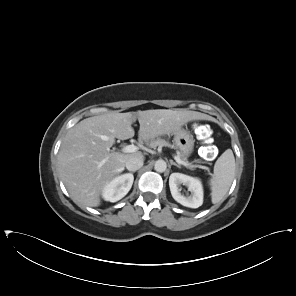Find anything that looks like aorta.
Here are the masks:
<instances>
[{
	"mask_svg": "<svg viewBox=\"0 0 296 296\" xmlns=\"http://www.w3.org/2000/svg\"><path fill=\"white\" fill-rule=\"evenodd\" d=\"M154 169L159 173H163L167 169V164L164 160L159 159L155 162Z\"/></svg>",
	"mask_w": 296,
	"mask_h": 296,
	"instance_id": "1",
	"label": "aorta"
}]
</instances>
